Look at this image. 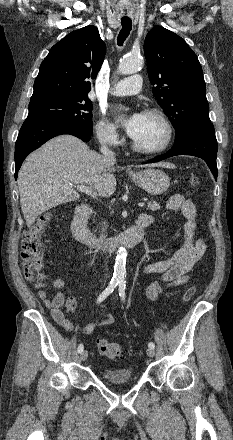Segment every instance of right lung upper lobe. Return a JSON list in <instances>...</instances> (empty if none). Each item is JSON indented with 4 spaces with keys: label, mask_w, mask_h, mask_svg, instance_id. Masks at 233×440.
I'll list each match as a JSON object with an SVG mask.
<instances>
[{
    "label": "right lung upper lobe",
    "mask_w": 233,
    "mask_h": 440,
    "mask_svg": "<svg viewBox=\"0 0 233 440\" xmlns=\"http://www.w3.org/2000/svg\"><path fill=\"white\" fill-rule=\"evenodd\" d=\"M106 52L97 27L73 31L55 44L41 63L30 103L52 98L88 97Z\"/></svg>",
    "instance_id": "1"
}]
</instances>
